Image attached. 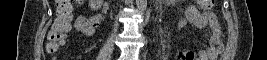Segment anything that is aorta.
<instances>
[{
    "label": "aorta",
    "mask_w": 267,
    "mask_h": 60,
    "mask_svg": "<svg viewBox=\"0 0 267 60\" xmlns=\"http://www.w3.org/2000/svg\"><path fill=\"white\" fill-rule=\"evenodd\" d=\"M136 5L140 12H144L147 8V0H136Z\"/></svg>",
    "instance_id": "aorta-1"
}]
</instances>
